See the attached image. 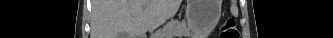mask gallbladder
<instances>
[{"label":"gallbladder","mask_w":333,"mask_h":38,"mask_svg":"<svg viewBox=\"0 0 333 38\" xmlns=\"http://www.w3.org/2000/svg\"><path fill=\"white\" fill-rule=\"evenodd\" d=\"M119 38H129V34H127V33H121V34H119Z\"/></svg>","instance_id":"gallbladder-1"}]
</instances>
